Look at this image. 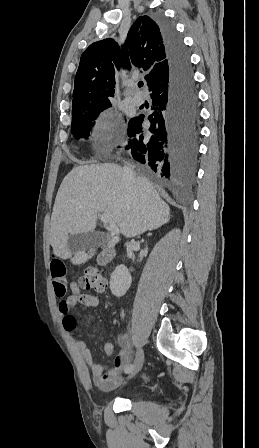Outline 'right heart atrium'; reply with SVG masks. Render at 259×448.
Returning <instances> with one entry per match:
<instances>
[{
	"mask_svg": "<svg viewBox=\"0 0 259 448\" xmlns=\"http://www.w3.org/2000/svg\"><path fill=\"white\" fill-rule=\"evenodd\" d=\"M89 141L94 149L111 152L117 142L114 124L104 118H97L91 126Z\"/></svg>",
	"mask_w": 259,
	"mask_h": 448,
	"instance_id": "1",
	"label": "right heart atrium"
}]
</instances>
